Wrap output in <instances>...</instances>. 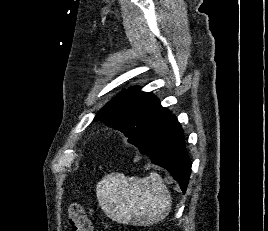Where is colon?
<instances>
[{
    "label": "colon",
    "mask_w": 268,
    "mask_h": 231,
    "mask_svg": "<svg viewBox=\"0 0 268 231\" xmlns=\"http://www.w3.org/2000/svg\"><path fill=\"white\" fill-rule=\"evenodd\" d=\"M68 221L72 231H92L90 218L79 203L70 204Z\"/></svg>",
    "instance_id": "5ec220e1"
}]
</instances>
